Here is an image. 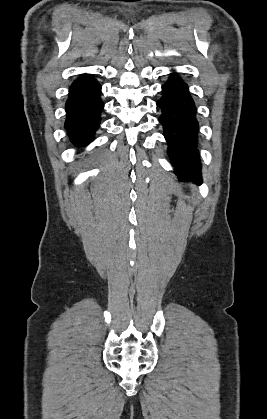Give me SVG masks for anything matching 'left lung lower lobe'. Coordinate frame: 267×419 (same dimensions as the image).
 Listing matches in <instances>:
<instances>
[{"mask_svg":"<svg viewBox=\"0 0 267 419\" xmlns=\"http://www.w3.org/2000/svg\"><path fill=\"white\" fill-rule=\"evenodd\" d=\"M162 97L157 101L162 115L159 122L168 143V154L180 179L201 180V164L197 150L199 125L196 107L188 85L177 75L170 74L162 86Z\"/></svg>","mask_w":267,"mask_h":419,"instance_id":"1","label":"left lung lower lobe"}]
</instances>
